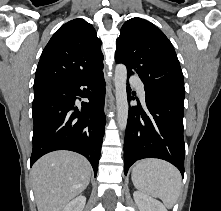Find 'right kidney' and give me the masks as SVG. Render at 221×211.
I'll list each match as a JSON object with an SVG mask.
<instances>
[{
	"mask_svg": "<svg viewBox=\"0 0 221 211\" xmlns=\"http://www.w3.org/2000/svg\"><path fill=\"white\" fill-rule=\"evenodd\" d=\"M86 203V197L83 195L77 196L69 202L62 211H83Z\"/></svg>",
	"mask_w": 221,
	"mask_h": 211,
	"instance_id": "obj_1",
	"label": "right kidney"
}]
</instances>
